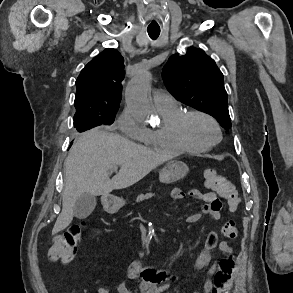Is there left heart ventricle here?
<instances>
[{"instance_id": "obj_1", "label": "left heart ventricle", "mask_w": 293, "mask_h": 293, "mask_svg": "<svg viewBox=\"0 0 293 293\" xmlns=\"http://www.w3.org/2000/svg\"><path fill=\"white\" fill-rule=\"evenodd\" d=\"M186 133L189 140L197 145H205L217 139V132L213 124L200 116L189 118Z\"/></svg>"}]
</instances>
